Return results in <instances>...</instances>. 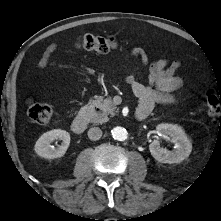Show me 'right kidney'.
Listing matches in <instances>:
<instances>
[{"mask_svg": "<svg viewBox=\"0 0 221 221\" xmlns=\"http://www.w3.org/2000/svg\"><path fill=\"white\" fill-rule=\"evenodd\" d=\"M62 140V144L57 148L51 146L54 140ZM70 144V134L61 129H54L44 133L36 142L34 150L40 157L54 159L62 157Z\"/></svg>", "mask_w": 221, "mask_h": 221, "instance_id": "ca27d5eb", "label": "right kidney"}]
</instances>
